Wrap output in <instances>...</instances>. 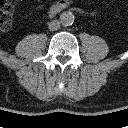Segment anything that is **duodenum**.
<instances>
[{"label":"duodenum","instance_id":"obj_1","mask_svg":"<svg viewBox=\"0 0 128 128\" xmlns=\"http://www.w3.org/2000/svg\"><path fill=\"white\" fill-rule=\"evenodd\" d=\"M68 6V1L67 0H60L57 3H55L51 9H50V15H56L57 13L61 12Z\"/></svg>","mask_w":128,"mask_h":128}]
</instances>
